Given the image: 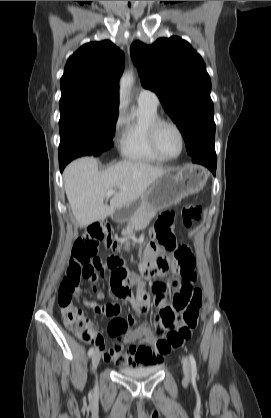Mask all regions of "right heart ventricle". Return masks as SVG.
Listing matches in <instances>:
<instances>
[{
  "label": "right heart ventricle",
  "mask_w": 271,
  "mask_h": 418,
  "mask_svg": "<svg viewBox=\"0 0 271 418\" xmlns=\"http://www.w3.org/2000/svg\"><path fill=\"white\" fill-rule=\"evenodd\" d=\"M159 119L157 107L138 103L130 117L124 121L120 150L123 157L139 162L164 163L155 153L149 140V129Z\"/></svg>",
  "instance_id": "1"
}]
</instances>
